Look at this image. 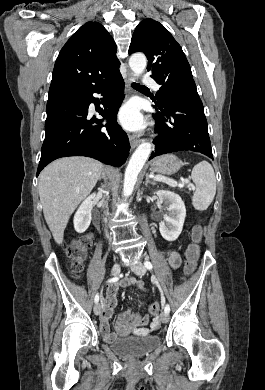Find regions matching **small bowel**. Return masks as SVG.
Segmentation results:
<instances>
[{"mask_svg":"<svg viewBox=\"0 0 265 390\" xmlns=\"http://www.w3.org/2000/svg\"><path fill=\"white\" fill-rule=\"evenodd\" d=\"M169 264L172 268L177 269L181 265V257L175 251L167 252ZM135 286L140 291L145 289L140 281L135 278L124 279L119 284L111 285L106 292L102 301V314L100 317V331L106 341L112 340L116 334L112 333L109 328V319L113 314V309L116 305V294L120 287ZM117 329L119 333L132 331L136 334L146 335L153 329L159 327V322L156 319H151L149 315H142L133 312L131 309L124 310L118 314Z\"/></svg>","mask_w":265,"mask_h":390,"instance_id":"c3829d8e","label":"small bowel"}]
</instances>
